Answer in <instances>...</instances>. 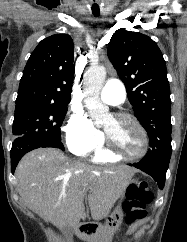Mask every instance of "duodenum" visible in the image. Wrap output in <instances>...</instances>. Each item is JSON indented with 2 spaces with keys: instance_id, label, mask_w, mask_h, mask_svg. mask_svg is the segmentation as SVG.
Segmentation results:
<instances>
[{
  "instance_id": "obj_1",
  "label": "duodenum",
  "mask_w": 187,
  "mask_h": 242,
  "mask_svg": "<svg viewBox=\"0 0 187 242\" xmlns=\"http://www.w3.org/2000/svg\"><path fill=\"white\" fill-rule=\"evenodd\" d=\"M74 230H75V233L81 237L88 236L94 233V228L92 227V225L86 222L78 223L75 226Z\"/></svg>"
}]
</instances>
